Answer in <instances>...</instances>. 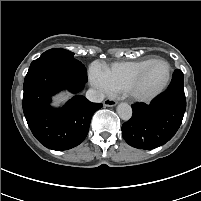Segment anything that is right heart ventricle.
I'll return each mask as SVG.
<instances>
[{"label": "right heart ventricle", "instance_id": "obj_1", "mask_svg": "<svg viewBox=\"0 0 201 201\" xmlns=\"http://www.w3.org/2000/svg\"><path fill=\"white\" fill-rule=\"evenodd\" d=\"M153 58H145L137 61L116 62L104 67V71L114 92L124 91L128 82L134 75Z\"/></svg>", "mask_w": 201, "mask_h": 201}]
</instances>
